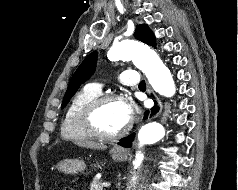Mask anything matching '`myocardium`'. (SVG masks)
Segmentation results:
<instances>
[{
  "label": "myocardium",
  "mask_w": 238,
  "mask_h": 190,
  "mask_svg": "<svg viewBox=\"0 0 238 190\" xmlns=\"http://www.w3.org/2000/svg\"><path fill=\"white\" fill-rule=\"evenodd\" d=\"M113 100L123 101V97L116 93H107L99 95L89 102L83 109L80 117V122L85 132L93 138L100 140H115L124 136L132 127V119L119 131L108 133L103 131L97 124V115L100 109L107 103Z\"/></svg>",
  "instance_id": "1"
}]
</instances>
